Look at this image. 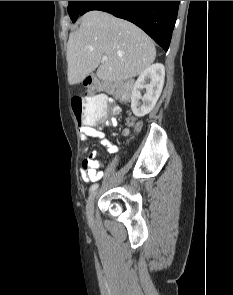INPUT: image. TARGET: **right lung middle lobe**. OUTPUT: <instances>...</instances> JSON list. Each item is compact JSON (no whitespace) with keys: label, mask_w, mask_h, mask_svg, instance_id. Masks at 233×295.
Wrapping results in <instances>:
<instances>
[{"label":"right lung middle lobe","mask_w":233,"mask_h":295,"mask_svg":"<svg viewBox=\"0 0 233 295\" xmlns=\"http://www.w3.org/2000/svg\"><path fill=\"white\" fill-rule=\"evenodd\" d=\"M86 1H69L68 13L72 22L74 23L81 13V10Z\"/></svg>","instance_id":"dd1d6c3e"}]
</instances>
